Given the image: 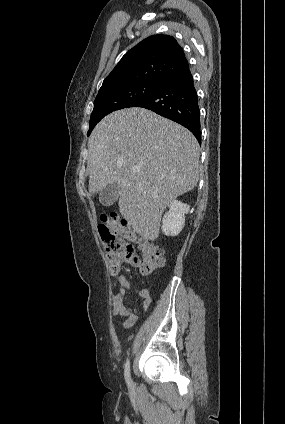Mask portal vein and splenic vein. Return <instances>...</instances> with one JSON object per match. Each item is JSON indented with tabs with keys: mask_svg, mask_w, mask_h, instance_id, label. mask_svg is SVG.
Segmentation results:
<instances>
[{
	"mask_svg": "<svg viewBox=\"0 0 285 424\" xmlns=\"http://www.w3.org/2000/svg\"><path fill=\"white\" fill-rule=\"evenodd\" d=\"M132 171H133V173H137V172H139V168L138 167H133L132 168Z\"/></svg>",
	"mask_w": 285,
	"mask_h": 424,
	"instance_id": "obj_1",
	"label": "portal vein and splenic vein"
}]
</instances>
